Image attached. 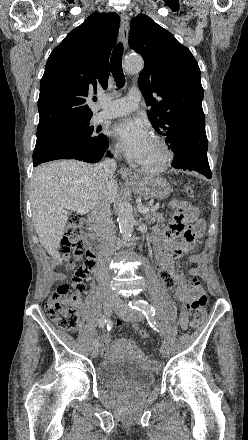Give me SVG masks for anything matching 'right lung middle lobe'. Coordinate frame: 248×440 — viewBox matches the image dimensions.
I'll list each match as a JSON object with an SVG mask.
<instances>
[{
    "label": "right lung middle lobe",
    "mask_w": 248,
    "mask_h": 440,
    "mask_svg": "<svg viewBox=\"0 0 248 440\" xmlns=\"http://www.w3.org/2000/svg\"><path fill=\"white\" fill-rule=\"evenodd\" d=\"M89 119L82 120L74 125V128L71 130L70 135L65 138H58L54 136V139L60 144H68L76 140H80L85 143H98L100 141V136H92L93 127L89 124ZM50 131H38L37 130V138L43 135L51 133Z\"/></svg>",
    "instance_id": "1"
}]
</instances>
